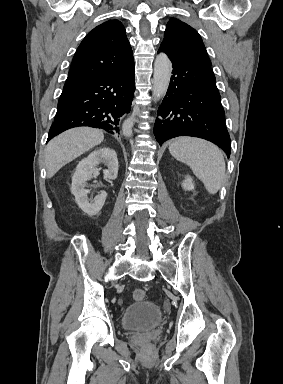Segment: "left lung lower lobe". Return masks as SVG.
Instances as JSON below:
<instances>
[{
	"mask_svg": "<svg viewBox=\"0 0 283 384\" xmlns=\"http://www.w3.org/2000/svg\"><path fill=\"white\" fill-rule=\"evenodd\" d=\"M172 62L168 91L158 109L154 125L156 140L194 136L209 140L230 156L231 141L225 125V112L211 66L170 52Z\"/></svg>",
	"mask_w": 283,
	"mask_h": 384,
	"instance_id": "left-lung-lower-lobe-1",
	"label": "left lung lower lobe"
}]
</instances>
